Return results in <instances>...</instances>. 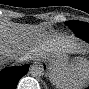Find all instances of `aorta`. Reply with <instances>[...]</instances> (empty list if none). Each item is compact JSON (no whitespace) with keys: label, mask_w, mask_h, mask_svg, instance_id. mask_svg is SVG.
Returning <instances> with one entry per match:
<instances>
[{"label":"aorta","mask_w":89,"mask_h":89,"mask_svg":"<svg viewBox=\"0 0 89 89\" xmlns=\"http://www.w3.org/2000/svg\"><path fill=\"white\" fill-rule=\"evenodd\" d=\"M43 67L40 64H33L30 66L29 73L33 77H40L43 75Z\"/></svg>","instance_id":"obj_1"}]
</instances>
